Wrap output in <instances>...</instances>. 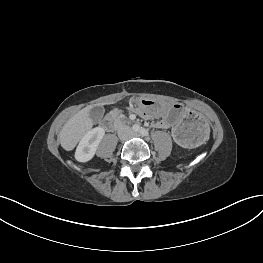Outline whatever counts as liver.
Masks as SVG:
<instances>
[{"label":"liver","instance_id":"1","mask_svg":"<svg viewBox=\"0 0 263 263\" xmlns=\"http://www.w3.org/2000/svg\"><path fill=\"white\" fill-rule=\"evenodd\" d=\"M92 108L93 106H87L81 109L73 117H71L63 126L59 137L61 146L66 151L73 150L77 143L92 128L94 123L90 117V111Z\"/></svg>","mask_w":263,"mask_h":263}]
</instances>
